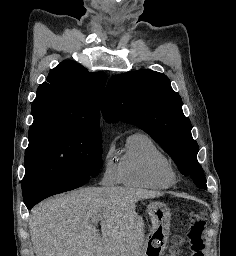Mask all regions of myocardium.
Returning a JSON list of instances; mask_svg holds the SVG:
<instances>
[{"label": "myocardium", "instance_id": "f54148a6", "mask_svg": "<svg viewBox=\"0 0 236 256\" xmlns=\"http://www.w3.org/2000/svg\"><path fill=\"white\" fill-rule=\"evenodd\" d=\"M167 173L172 175L173 177H176V170L174 167H171L167 170Z\"/></svg>", "mask_w": 236, "mask_h": 256}]
</instances>
